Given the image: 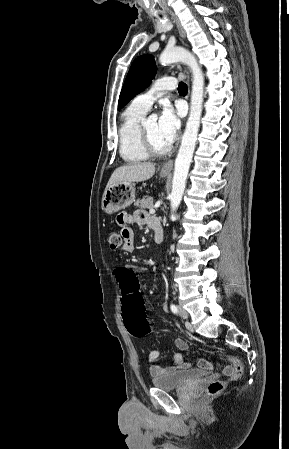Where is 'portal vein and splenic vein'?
Listing matches in <instances>:
<instances>
[{"instance_id": "obj_1", "label": "portal vein and splenic vein", "mask_w": 289, "mask_h": 449, "mask_svg": "<svg viewBox=\"0 0 289 449\" xmlns=\"http://www.w3.org/2000/svg\"><path fill=\"white\" fill-rule=\"evenodd\" d=\"M149 212H150V214H154L155 213V207L150 208Z\"/></svg>"}]
</instances>
